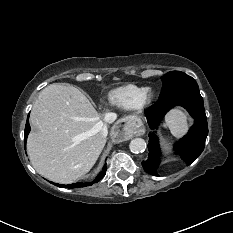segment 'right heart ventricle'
<instances>
[{"mask_svg": "<svg viewBox=\"0 0 233 233\" xmlns=\"http://www.w3.org/2000/svg\"><path fill=\"white\" fill-rule=\"evenodd\" d=\"M147 88L133 84L113 89L108 94L110 104L126 109H135L142 105Z\"/></svg>", "mask_w": 233, "mask_h": 233, "instance_id": "obj_1", "label": "right heart ventricle"}]
</instances>
